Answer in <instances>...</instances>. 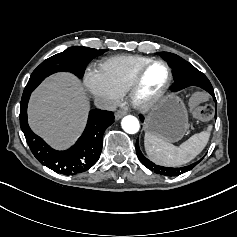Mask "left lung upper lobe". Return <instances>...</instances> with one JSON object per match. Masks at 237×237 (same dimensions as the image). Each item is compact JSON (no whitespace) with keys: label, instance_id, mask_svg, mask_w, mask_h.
Returning <instances> with one entry per match:
<instances>
[{"label":"left lung upper lobe","instance_id":"obj_1","mask_svg":"<svg viewBox=\"0 0 237 237\" xmlns=\"http://www.w3.org/2000/svg\"><path fill=\"white\" fill-rule=\"evenodd\" d=\"M158 54L161 55L165 60H167L170 67L173 69V75L175 77V83L171 87V90L173 92L182 90L189 86L201 87L207 92L209 89H213L208 78L198 69H196L192 64L188 63L187 61L177 56L176 54L170 52H158ZM140 119L142 121L144 120L143 117H140ZM136 153L140 162L145 167H147L151 171H154L155 173L165 176H178L191 170L198 164L197 162L192 165L181 168H170L155 165L150 160L145 158L144 155L141 153L138 147V140L136 142Z\"/></svg>","mask_w":237,"mask_h":237}]
</instances>
